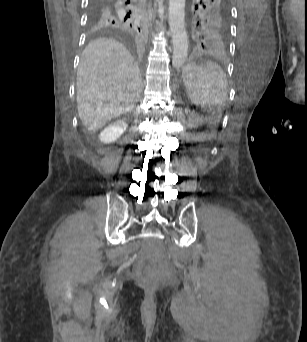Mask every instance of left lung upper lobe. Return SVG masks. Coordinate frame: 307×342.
Instances as JSON below:
<instances>
[{
	"label": "left lung upper lobe",
	"mask_w": 307,
	"mask_h": 342,
	"mask_svg": "<svg viewBox=\"0 0 307 342\" xmlns=\"http://www.w3.org/2000/svg\"><path fill=\"white\" fill-rule=\"evenodd\" d=\"M228 0H200L192 17L193 36L197 49L223 53L229 40Z\"/></svg>",
	"instance_id": "1"
}]
</instances>
